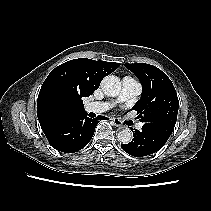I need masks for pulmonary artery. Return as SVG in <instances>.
<instances>
[{"mask_svg": "<svg viewBox=\"0 0 211 211\" xmlns=\"http://www.w3.org/2000/svg\"><path fill=\"white\" fill-rule=\"evenodd\" d=\"M142 91V86L138 80L133 77L125 76L122 79V88L116 100L97 101L87 104L86 110L88 112L103 113L111 109L116 103L125 102L136 98ZM137 129H142L143 124L138 123Z\"/></svg>", "mask_w": 211, "mask_h": 211, "instance_id": "pulmonary-artery-1", "label": "pulmonary artery"}]
</instances>
